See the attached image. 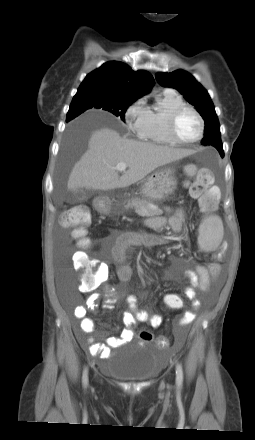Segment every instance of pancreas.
I'll return each mask as SVG.
<instances>
[{"label": "pancreas", "mask_w": 255, "mask_h": 440, "mask_svg": "<svg viewBox=\"0 0 255 440\" xmlns=\"http://www.w3.org/2000/svg\"><path fill=\"white\" fill-rule=\"evenodd\" d=\"M125 209H134L135 212L141 216H159L162 215V210L157 207H151L148 199L134 198L127 202Z\"/></svg>", "instance_id": "1"}]
</instances>
